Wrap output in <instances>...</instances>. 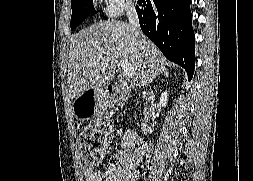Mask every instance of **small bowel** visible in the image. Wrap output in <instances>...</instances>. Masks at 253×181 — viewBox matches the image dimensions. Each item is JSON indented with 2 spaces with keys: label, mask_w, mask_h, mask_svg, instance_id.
Instances as JSON below:
<instances>
[{
  "label": "small bowel",
  "mask_w": 253,
  "mask_h": 181,
  "mask_svg": "<svg viewBox=\"0 0 253 181\" xmlns=\"http://www.w3.org/2000/svg\"><path fill=\"white\" fill-rule=\"evenodd\" d=\"M124 150L116 153L117 163L110 164L104 172L85 168L87 181H135L138 166L145 151V143L131 130L118 131Z\"/></svg>",
  "instance_id": "1"
}]
</instances>
